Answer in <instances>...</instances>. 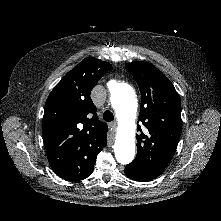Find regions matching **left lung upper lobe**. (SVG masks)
<instances>
[{
    "instance_id": "5c2ea615",
    "label": "left lung upper lobe",
    "mask_w": 221,
    "mask_h": 221,
    "mask_svg": "<svg viewBox=\"0 0 221 221\" xmlns=\"http://www.w3.org/2000/svg\"><path fill=\"white\" fill-rule=\"evenodd\" d=\"M141 91L137 155L126 167L137 172H163L181 134V101L169 79L147 62L125 64Z\"/></svg>"
}]
</instances>
